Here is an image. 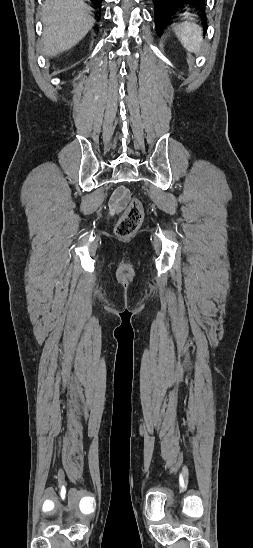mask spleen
<instances>
[{
    "label": "spleen",
    "mask_w": 253,
    "mask_h": 548,
    "mask_svg": "<svg viewBox=\"0 0 253 548\" xmlns=\"http://www.w3.org/2000/svg\"><path fill=\"white\" fill-rule=\"evenodd\" d=\"M185 16L189 17L190 14L186 13ZM174 30L186 50L194 53L200 50L203 41V31L199 25L186 21L176 24Z\"/></svg>",
    "instance_id": "obj_1"
}]
</instances>
